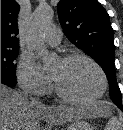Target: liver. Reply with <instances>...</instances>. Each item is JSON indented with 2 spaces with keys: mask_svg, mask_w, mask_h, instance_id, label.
<instances>
[{
  "mask_svg": "<svg viewBox=\"0 0 123 130\" xmlns=\"http://www.w3.org/2000/svg\"><path fill=\"white\" fill-rule=\"evenodd\" d=\"M98 106L31 104L26 96L1 84V130H39V120L61 125L95 117Z\"/></svg>",
  "mask_w": 123,
  "mask_h": 130,
  "instance_id": "6515ba94",
  "label": "liver"
}]
</instances>
